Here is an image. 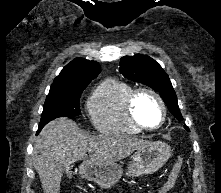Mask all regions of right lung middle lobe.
Segmentation results:
<instances>
[{
  "label": "right lung middle lobe",
  "instance_id": "dd1d6c3e",
  "mask_svg": "<svg viewBox=\"0 0 221 193\" xmlns=\"http://www.w3.org/2000/svg\"><path fill=\"white\" fill-rule=\"evenodd\" d=\"M87 85L50 90L43 106L39 128L58 117L80 114L79 99Z\"/></svg>",
  "mask_w": 221,
  "mask_h": 193
}]
</instances>
